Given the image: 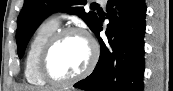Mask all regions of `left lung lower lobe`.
<instances>
[{
	"label": "left lung lower lobe",
	"instance_id": "left-lung-lower-lobe-1",
	"mask_svg": "<svg viewBox=\"0 0 173 91\" xmlns=\"http://www.w3.org/2000/svg\"><path fill=\"white\" fill-rule=\"evenodd\" d=\"M145 0H108L106 36L99 37L98 20L94 33L101 53L93 73L74 87L88 91H142L144 76Z\"/></svg>",
	"mask_w": 173,
	"mask_h": 91
}]
</instances>
